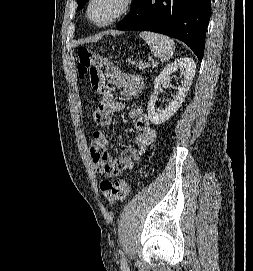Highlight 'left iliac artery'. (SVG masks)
<instances>
[{
	"label": "left iliac artery",
	"instance_id": "left-iliac-artery-1",
	"mask_svg": "<svg viewBox=\"0 0 253 271\" xmlns=\"http://www.w3.org/2000/svg\"><path fill=\"white\" fill-rule=\"evenodd\" d=\"M121 265H122L123 271H129V268L127 266V262H126L125 258H122Z\"/></svg>",
	"mask_w": 253,
	"mask_h": 271
}]
</instances>
